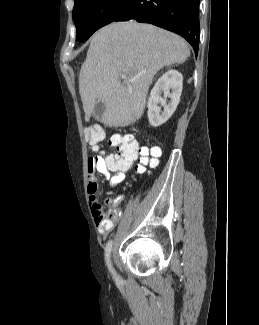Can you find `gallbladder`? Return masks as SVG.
Here are the masks:
<instances>
[{
  "mask_svg": "<svg viewBox=\"0 0 259 325\" xmlns=\"http://www.w3.org/2000/svg\"><path fill=\"white\" fill-rule=\"evenodd\" d=\"M104 103L101 101H97L95 106H94V110H93V116L97 119L99 118L103 111H104Z\"/></svg>",
  "mask_w": 259,
  "mask_h": 325,
  "instance_id": "1",
  "label": "gallbladder"
}]
</instances>
